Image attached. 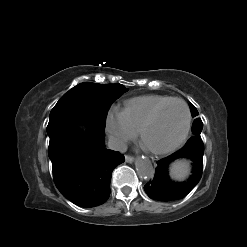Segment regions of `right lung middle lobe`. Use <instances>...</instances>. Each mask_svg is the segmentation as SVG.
Masks as SVG:
<instances>
[{
  "label": "right lung middle lobe",
  "mask_w": 247,
  "mask_h": 247,
  "mask_svg": "<svg viewBox=\"0 0 247 247\" xmlns=\"http://www.w3.org/2000/svg\"><path fill=\"white\" fill-rule=\"evenodd\" d=\"M127 90L122 84H78L60 98L51 110L50 118L79 114L105 128L107 112L112 102Z\"/></svg>",
  "instance_id": "right-lung-middle-lobe-1"
}]
</instances>
